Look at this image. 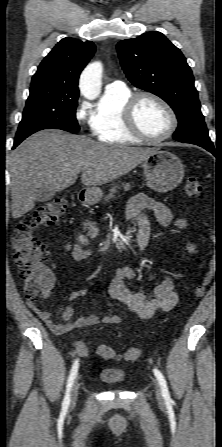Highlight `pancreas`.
I'll use <instances>...</instances> for the list:
<instances>
[{
    "instance_id": "1",
    "label": "pancreas",
    "mask_w": 222,
    "mask_h": 447,
    "mask_svg": "<svg viewBox=\"0 0 222 447\" xmlns=\"http://www.w3.org/2000/svg\"><path fill=\"white\" fill-rule=\"evenodd\" d=\"M123 186H124L125 190H129L130 187H131L130 184H128V183L124 184ZM110 192L111 193L108 196L105 197V201H108L109 199L114 197L113 193H115V189L114 188L111 189ZM84 226L88 227V229H89V236L91 238H95L98 235V228L95 226V223L87 222V223H84Z\"/></svg>"
}]
</instances>
